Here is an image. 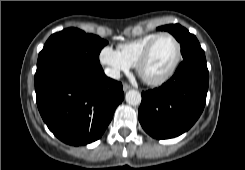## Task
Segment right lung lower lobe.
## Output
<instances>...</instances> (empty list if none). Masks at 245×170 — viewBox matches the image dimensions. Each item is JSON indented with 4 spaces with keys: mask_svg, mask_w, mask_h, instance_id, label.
Returning <instances> with one entry per match:
<instances>
[{
    "mask_svg": "<svg viewBox=\"0 0 245 170\" xmlns=\"http://www.w3.org/2000/svg\"><path fill=\"white\" fill-rule=\"evenodd\" d=\"M36 102L49 130L62 142L80 146L98 140L122 102V84L100 65L68 63L35 81Z\"/></svg>",
    "mask_w": 245,
    "mask_h": 170,
    "instance_id": "1",
    "label": "right lung lower lobe"
}]
</instances>
